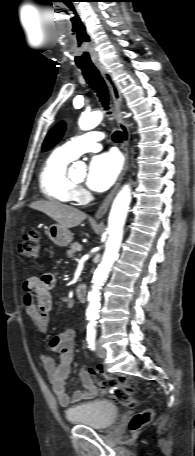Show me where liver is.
I'll return each instance as SVG.
<instances>
[{"mask_svg": "<svg viewBox=\"0 0 195 456\" xmlns=\"http://www.w3.org/2000/svg\"><path fill=\"white\" fill-rule=\"evenodd\" d=\"M30 207L45 213L66 229L78 226L87 218L86 213L79 209L57 201L39 200L33 202Z\"/></svg>", "mask_w": 195, "mask_h": 456, "instance_id": "1", "label": "liver"}]
</instances>
